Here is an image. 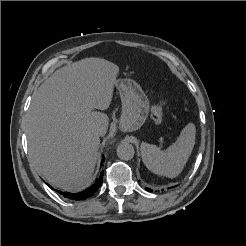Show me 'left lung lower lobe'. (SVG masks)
Segmentation results:
<instances>
[{
    "mask_svg": "<svg viewBox=\"0 0 246 246\" xmlns=\"http://www.w3.org/2000/svg\"><path fill=\"white\" fill-rule=\"evenodd\" d=\"M146 190H147V191H149V192H152V190H151V189H149V188H146Z\"/></svg>",
    "mask_w": 246,
    "mask_h": 246,
    "instance_id": "1",
    "label": "left lung lower lobe"
}]
</instances>
